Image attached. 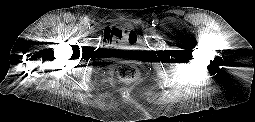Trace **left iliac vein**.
I'll list each match as a JSON object with an SVG mask.
<instances>
[{
    "label": "left iliac vein",
    "mask_w": 255,
    "mask_h": 122,
    "mask_svg": "<svg viewBox=\"0 0 255 122\" xmlns=\"http://www.w3.org/2000/svg\"><path fill=\"white\" fill-rule=\"evenodd\" d=\"M149 31H150L151 33H154V32L156 31V29H155L154 27H150V28H149Z\"/></svg>",
    "instance_id": "1"
}]
</instances>
